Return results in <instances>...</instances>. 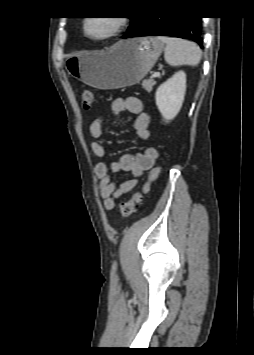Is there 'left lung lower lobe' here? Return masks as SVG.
<instances>
[{"label": "left lung lower lobe", "mask_w": 254, "mask_h": 355, "mask_svg": "<svg viewBox=\"0 0 254 355\" xmlns=\"http://www.w3.org/2000/svg\"><path fill=\"white\" fill-rule=\"evenodd\" d=\"M135 24L122 38L165 35L190 39L203 48L200 16L195 17H136Z\"/></svg>", "instance_id": "1"}]
</instances>
